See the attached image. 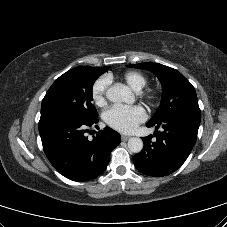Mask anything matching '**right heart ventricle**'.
Returning <instances> with one entry per match:
<instances>
[{"label": "right heart ventricle", "mask_w": 227, "mask_h": 227, "mask_svg": "<svg viewBox=\"0 0 227 227\" xmlns=\"http://www.w3.org/2000/svg\"><path fill=\"white\" fill-rule=\"evenodd\" d=\"M123 79L134 90L140 91L147 84V78L138 71H127L123 75Z\"/></svg>", "instance_id": "e07e8e85"}]
</instances>
